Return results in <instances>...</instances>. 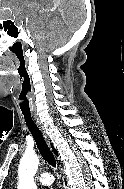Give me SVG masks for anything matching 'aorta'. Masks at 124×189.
I'll return each instance as SVG.
<instances>
[{"mask_svg":"<svg viewBox=\"0 0 124 189\" xmlns=\"http://www.w3.org/2000/svg\"><path fill=\"white\" fill-rule=\"evenodd\" d=\"M39 165V158L35 154H24L18 168V189H37L34 176Z\"/></svg>","mask_w":124,"mask_h":189,"instance_id":"762f6f07","label":"aorta"}]
</instances>
